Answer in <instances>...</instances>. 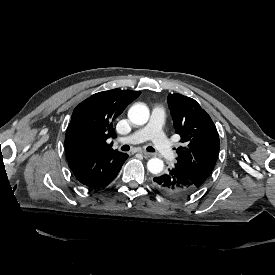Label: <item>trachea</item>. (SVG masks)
Segmentation results:
<instances>
[{"label": "trachea", "mask_w": 275, "mask_h": 275, "mask_svg": "<svg viewBox=\"0 0 275 275\" xmlns=\"http://www.w3.org/2000/svg\"><path fill=\"white\" fill-rule=\"evenodd\" d=\"M129 149H130L129 145H123L121 147V150H123V151H128ZM146 150L148 152H154L155 151V149L153 147H151V146L147 147Z\"/></svg>", "instance_id": "3493384b"}]
</instances>
